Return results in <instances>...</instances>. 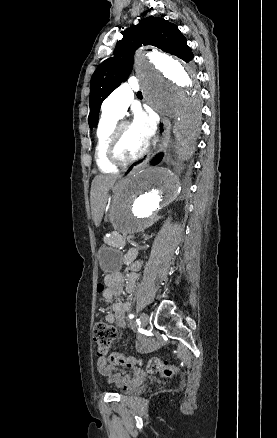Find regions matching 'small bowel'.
Wrapping results in <instances>:
<instances>
[{
  "label": "small bowel",
  "instance_id": "obj_1",
  "mask_svg": "<svg viewBox=\"0 0 277 438\" xmlns=\"http://www.w3.org/2000/svg\"><path fill=\"white\" fill-rule=\"evenodd\" d=\"M135 258V251H130L127 254V261L133 262L132 272L127 277H124L120 273H111L104 279L106 286L103 292V300L105 302L103 311L105 313V319L107 322L115 324L120 328H125L126 326L125 315L132 307V296L137 287V269L140 263L134 262ZM124 292L128 295L126 299L114 301L116 297H120ZM96 370L98 374L105 377L110 384L125 389L135 387L143 378L140 369L138 372H133L132 375H129L125 371L118 369L115 363H106L104 357L97 360Z\"/></svg>",
  "mask_w": 277,
  "mask_h": 438
}]
</instances>
